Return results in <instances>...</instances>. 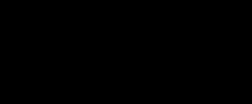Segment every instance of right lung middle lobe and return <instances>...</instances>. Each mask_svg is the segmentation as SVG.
Masks as SVG:
<instances>
[{
	"label": "right lung middle lobe",
	"mask_w": 252,
	"mask_h": 104,
	"mask_svg": "<svg viewBox=\"0 0 252 104\" xmlns=\"http://www.w3.org/2000/svg\"><path fill=\"white\" fill-rule=\"evenodd\" d=\"M111 26V20L95 15H84L70 21L46 38L36 67L41 68L49 59L61 56L74 58L104 72L102 47Z\"/></svg>",
	"instance_id": "right-lung-middle-lobe-1"
}]
</instances>
